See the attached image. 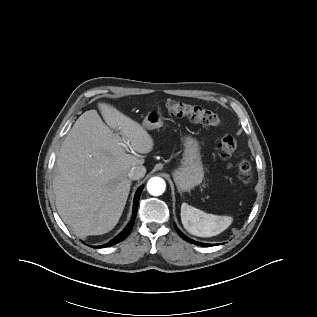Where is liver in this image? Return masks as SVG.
Returning <instances> with one entry per match:
<instances>
[{"mask_svg":"<svg viewBox=\"0 0 317 317\" xmlns=\"http://www.w3.org/2000/svg\"><path fill=\"white\" fill-rule=\"evenodd\" d=\"M97 106L106 124L96 110L77 119L58 152L52 182L61 219L81 238L111 231L122 215L131 189L128 172L144 163L126 153L127 140L141 154L154 146L138 122L108 103Z\"/></svg>","mask_w":317,"mask_h":317,"instance_id":"6515ba94","label":"liver"}]
</instances>
